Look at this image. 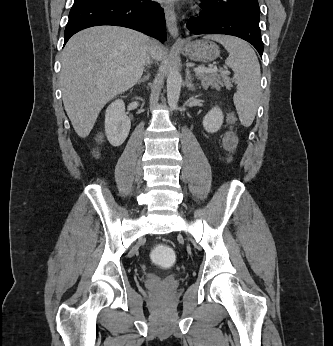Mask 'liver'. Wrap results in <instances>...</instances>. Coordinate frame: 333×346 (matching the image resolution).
<instances>
[{
  "instance_id": "6515ba94",
  "label": "liver",
  "mask_w": 333,
  "mask_h": 346,
  "mask_svg": "<svg viewBox=\"0 0 333 346\" xmlns=\"http://www.w3.org/2000/svg\"><path fill=\"white\" fill-rule=\"evenodd\" d=\"M164 49L137 31L97 26L76 33L62 52V98L74 130L86 138L104 105L141 78L147 55Z\"/></svg>"
}]
</instances>
